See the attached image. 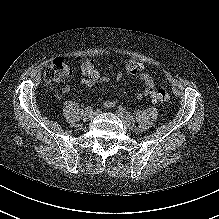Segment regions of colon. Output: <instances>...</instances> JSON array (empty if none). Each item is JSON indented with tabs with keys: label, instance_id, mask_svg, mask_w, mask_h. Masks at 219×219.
I'll list each match as a JSON object with an SVG mask.
<instances>
[{
	"label": "colon",
	"instance_id": "colon-1",
	"mask_svg": "<svg viewBox=\"0 0 219 219\" xmlns=\"http://www.w3.org/2000/svg\"><path fill=\"white\" fill-rule=\"evenodd\" d=\"M131 71H137V68H132ZM71 74V68L67 60L63 57L54 59L44 72V80L46 84L52 85L57 83ZM151 98L155 102H166L169 99V94L164 89H158L151 92Z\"/></svg>",
	"mask_w": 219,
	"mask_h": 219
}]
</instances>
